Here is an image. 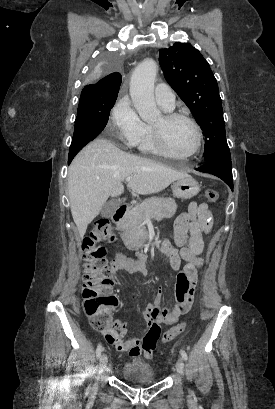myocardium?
<instances>
[{
  "instance_id": "1",
  "label": "myocardium",
  "mask_w": 275,
  "mask_h": 409,
  "mask_svg": "<svg viewBox=\"0 0 275 409\" xmlns=\"http://www.w3.org/2000/svg\"><path fill=\"white\" fill-rule=\"evenodd\" d=\"M183 120L189 123L195 133V144L192 150L187 154H178L174 152L168 142V131L170 126L178 121ZM153 136L155 145L166 156L169 157H194L202 145V132L198 123L188 115L181 113H166L161 116L160 122L153 125Z\"/></svg>"
}]
</instances>
